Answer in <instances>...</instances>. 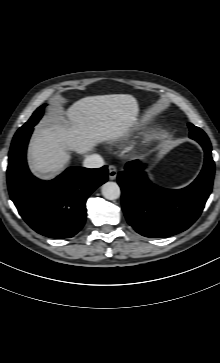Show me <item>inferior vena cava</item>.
Listing matches in <instances>:
<instances>
[{"mask_svg":"<svg viewBox=\"0 0 220 363\" xmlns=\"http://www.w3.org/2000/svg\"><path fill=\"white\" fill-rule=\"evenodd\" d=\"M104 165L103 158L98 154H93L86 157L83 161V166L86 168H100Z\"/></svg>","mask_w":220,"mask_h":363,"instance_id":"602c4592","label":"inferior vena cava"}]
</instances>
